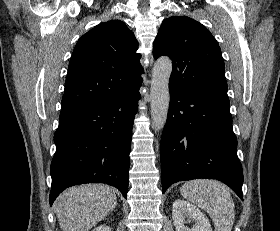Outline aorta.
Masks as SVG:
<instances>
[{
    "mask_svg": "<svg viewBox=\"0 0 280 231\" xmlns=\"http://www.w3.org/2000/svg\"><path fill=\"white\" fill-rule=\"evenodd\" d=\"M172 72V62L170 58L162 56L158 58L152 70V80L150 88L151 119L155 131L163 129L168 116L170 102L169 78Z\"/></svg>",
    "mask_w": 280,
    "mask_h": 231,
    "instance_id": "obj_1",
    "label": "aorta"
}]
</instances>
